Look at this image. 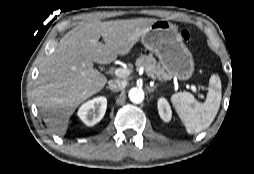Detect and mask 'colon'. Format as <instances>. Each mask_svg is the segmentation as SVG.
I'll use <instances>...</instances> for the list:
<instances>
[{"label": "colon", "mask_w": 254, "mask_h": 174, "mask_svg": "<svg viewBox=\"0 0 254 174\" xmlns=\"http://www.w3.org/2000/svg\"><path fill=\"white\" fill-rule=\"evenodd\" d=\"M181 36L186 42H189L191 39V36L188 31H182Z\"/></svg>", "instance_id": "5ec220e1"}]
</instances>
